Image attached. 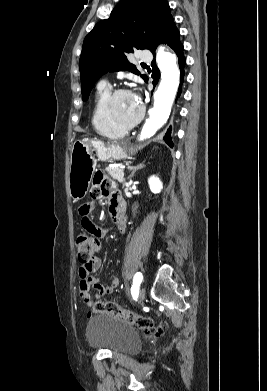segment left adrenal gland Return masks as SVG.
Returning a JSON list of instances; mask_svg holds the SVG:
<instances>
[{
    "instance_id": "obj_1",
    "label": "left adrenal gland",
    "mask_w": 267,
    "mask_h": 391,
    "mask_svg": "<svg viewBox=\"0 0 267 391\" xmlns=\"http://www.w3.org/2000/svg\"><path fill=\"white\" fill-rule=\"evenodd\" d=\"M143 167H144L143 164H139V165H137V166H130V165H128L127 168H128L129 170H132V173H131V175L128 176V179H129L130 177H132L133 174H134L137 170H140V169H142ZM124 184H125V181H124Z\"/></svg>"
}]
</instances>
